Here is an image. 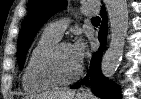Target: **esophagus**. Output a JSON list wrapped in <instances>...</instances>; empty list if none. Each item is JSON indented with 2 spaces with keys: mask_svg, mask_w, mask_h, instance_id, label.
Listing matches in <instances>:
<instances>
[{
  "mask_svg": "<svg viewBox=\"0 0 141 99\" xmlns=\"http://www.w3.org/2000/svg\"><path fill=\"white\" fill-rule=\"evenodd\" d=\"M80 95H86L87 94V90L85 89H81V91L79 92Z\"/></svg>",
  "mask_w": 141,
  "mask_h": 99,
  "instance_id": "34e87169",
  "label": "esophagus"
}]
</instances>
